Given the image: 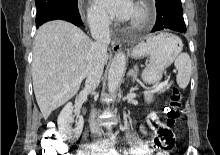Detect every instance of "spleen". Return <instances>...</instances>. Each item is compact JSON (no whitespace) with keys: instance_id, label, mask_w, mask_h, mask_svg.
Returning <instances> with one entry per match:
<instances>
[{"instance_id":"3e777b00","label":"spleen","mask_w":220,"mask_h":155,"mask_svg":"<svg viewBox=\"0 0 220 155\" xmlns=\"http://www.w3.org/2000/svg\"><path fill=\"white\" fill-rule=\"evenodd\" d=\"M175 67L177 69L176 81L181 89H185L190 81L192 73V62L187 53H181L175 59Z\"/></svg>"}]
</instances>
